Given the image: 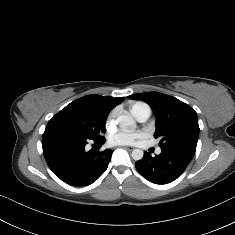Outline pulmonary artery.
Segmentation results:
<instances>
[{"mask_svg":"<svg viewBox=\"0 0 235 235\" xmlns=\"http://www.w3.org/2000/svg\"><path fill=\"white\" fill-rule=\"evenodd\" d=\"M133 113L139 122H145L151 115V108L145 103H139L134 107ZM157 152L160 153V149Z\"/></svg>","mask_w":235,"mask_h":235,"instance_id":"obj_1","label":"pulmonary artery"}]
</instances>
